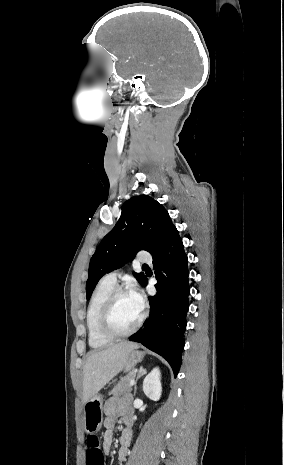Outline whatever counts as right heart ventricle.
Segmentation results:
<instances>
[{"label": "right heart ventricle", "mask_w": 284, "mask_h": 465, "mask_svg": "<svg viewBox=\"0 0 284 465\" xmlns=\"http://www.w3.org/2000/svg\"><path fill=\"white\" fill-rule=\"evenodd\" d=\"M115 285L99 281L88 302L85 325L89 346H109L112 341L99 332V320L103 307L113 292Z\"/></svg>", "instance_id": "e07e8e85"}]
</instances>
